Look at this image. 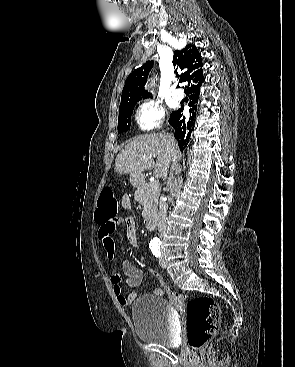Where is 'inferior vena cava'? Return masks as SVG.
I'll use <instances>...</instances> for the list:
<instances>
[{
    "label": "inferior vena cava",
    "instance_id": "1",
    "mask_svg": "<svg viewBox=\"0 0 295 367\" xmlns=\"http://www.w3.org/2000/svg\"><path fill=\"white\" fill-rule=\"evenodd\" d=\"M170 146L173 147L175 145V139L172 135H168ZM163 198V196H162ZM168 205L164 200H160L159 203V216H158V230L159 232H163L166 229V214H167Z\"/></svg>",
    "mask_w": 295,
    "mask_h": 367
}]
</instances>
